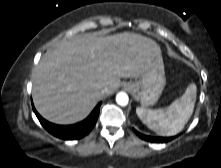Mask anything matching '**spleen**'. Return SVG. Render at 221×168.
I'll use <instances>...</instances> for the list:
<instances>
[{"label":"spleen","mask_w":221,"mask_h":168,"mask_svg":"<svg viewBox=\"0 0 221 168\" xmlns=\"http://www.w3.org/2000/svg\"><path fill=\"white\" fill-rule=\"evenodd\" d=\"M196 85L191 84L185 93L165 109L150 110L136 108L140 120L161 136H173L179 133L190 119L196 101Z\"/></svg>","instance_id":"1"}]
</instances>
